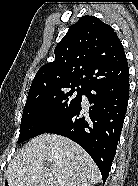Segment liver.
<instances>
[{
    "instance_id": "1",
    "label": "liver",
    "mask_w": 138,
    "mask_h": 186,
    "mask_svg": "<svg viewBox=\"0 0 138 186\" xmlns=\"http://www.w3.org/2000/svg\"><path fill=\"white\" fill-rule=\"evenodd\" d=\"M45 161L52 167L45 166ZM9 186H78L97 184L101 174L89 154L74 141L43 134L29 141L10 162Z\"/></svg>"
}]
</instances>
